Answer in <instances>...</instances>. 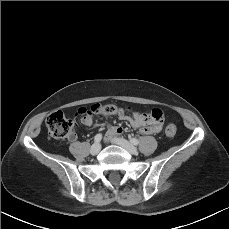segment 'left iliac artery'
<instances>
[{
	"mask_svg": "<svg viewBox=\"0 0 229 229\" xmlns=\"http://www.w3.org/2000/svg\"><path fill=\"white\" fill-rule=\"evenodd\" d=\"M130 142H131L133 145H138V144H139V140L136 139V138H131V139H130Z\"/></svg>",
	"mask_w": 229,
	"mask_h": 229,
	"instance_id": "left-iliac-artery-1",
	"label": "left iliac artery"
}]
</instances>
